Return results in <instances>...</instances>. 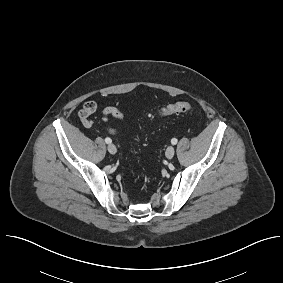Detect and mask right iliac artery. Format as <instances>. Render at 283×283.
Returning <instances> with one entry per match:
<instances>
[{
  "label": "right iliac artery",
  "mask_w": 283,
  "mask_h": 283,
  "mask_svg": "<svg viewBox=\"0 0 283 283\" xmlns=\"http://www.w3.org/2000/svg\"><path fill=\"white\" fill-rule=\"evenodd\" d=\"M105 142H106L107 144H110V143L112 142V140L107 137V138H105Z\"/></svg>",
  "instance_id": "right-iliac-artery-1"
}]
</instances>
